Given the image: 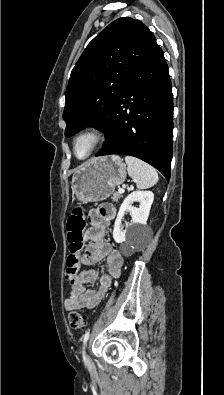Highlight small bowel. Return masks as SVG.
<instances>
[{"label": "small bowel", "mask_w": 224, "mask_h": 395, "mask_svg": "<svg viewBox=\"0 0 224 395\" xmlns=\"http://www.w3.org/2000/svg\"><path fill=\"white\" fill-rule=\"evenodd\" d=\"M116 208L104 205L89 212L90 227L85 233L88 241L85 250L84 263L89 267L82 270L72 281L71 291L65 299V309L70 311L82 308H95L105 297L112 283V278L119 277L123 264V254L105 240L106 230L110 221L115 218ZM105 260L107 273L99 276L94 267ZM99 278V288L87 289Z\"/></svg>", "instance_id": "small-bowel-1"}]
</instances>
